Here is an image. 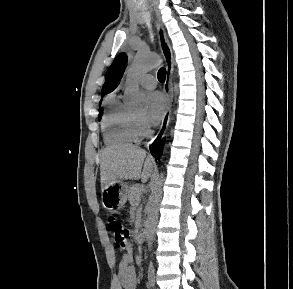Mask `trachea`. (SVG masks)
Segmentation results:
<instances>
[{
  "label": "trachea",
  "mask_w": 293,
  "mask_h": 289,
  "mask_svg": "<svg viewBox=\"0 0 293 289\" xmlns=\"http://www.w3.org/2000/svg\"><path fill=\"white\" fill-rule=\"evenodd\" d=\"M158 80L161 82V83H164L165 82V78H166V70L165 68H161L159 71H158Z\"/></svg>",
  "instance_id": "1"
}]
</instances>
